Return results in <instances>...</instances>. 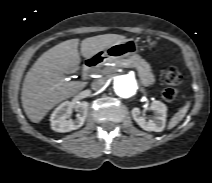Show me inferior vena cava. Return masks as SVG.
I'll return each mask as SVG.
<instances>
[{
    "instance_id": "inferior-vena-cava-1",
    "label": "inferior vena cava",
    "mask_w": 212,
    "mask_h": 183,
    "mask_svg": "<svg viewBox=\"0 0 212 183\" xmlns=\"http://www.w3.org/2000/svg\"><path fill=\"white\" fill-rule=\"evenodd\" d=\"M105 84V80L104 79H97V80H94L91 84V88L95 91H98L100 89H102V87L104 86Z\"/></svg>"
}]
</instances>
